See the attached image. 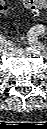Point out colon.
<instances>
[{
    "mask_svg": "<svg viewBox=\"0 0 47 129\" xmlns=\"http://www.w3.org/2000/svg\"><path fill=\"white\" fill-rule=\"evenodd\" d=\"M24 5L29 8L33 15L38 16L40 12L46 8V0H23ZM0 10L7 12L8 7L5 3L0 4Z\"/></svg>",
    "mask_w": 47,
    "mask_h": 129,
    "instance_id": "1",
    "label": "colon"
}]
</instances>
